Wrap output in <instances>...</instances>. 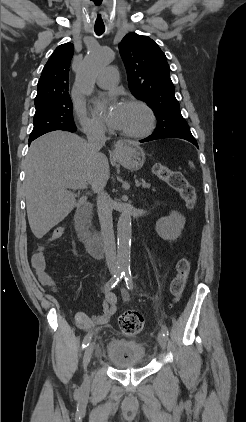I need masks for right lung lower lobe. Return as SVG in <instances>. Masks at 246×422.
<instances>
[{"label":"right lung lower lobe","instance_id":"98d812e1","mask_svg":"<svg viewBox=\"0 0 246 422\" xmlns=\"http://www.w3.org/2000/svg\"><path fill=\"white\" fill-rule=\"evenodd\" d=\"M77 130V128L71 129L69 130L70 132H75ZM33 140H29V144L32 142Z\"/></svg>","mask_w":246,"mask_h":422}]
</instances>
